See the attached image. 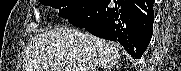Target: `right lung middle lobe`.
<instances>
[{"mask_svg":"<svg viewBox=\"0 0 181 71\" xmlns=\"http://www.w3.org/2000/svg\"><path fill=\"white\" fill-rule=\"evenodd\" d=\"M98 0H40L44 5H50L59 10V16L69 18L90 9Z\"/></svg>","mask_w":181,"mask_h":71,"instance_id":"obj_1","label":"right lung middle lobe"}]
</instances>
